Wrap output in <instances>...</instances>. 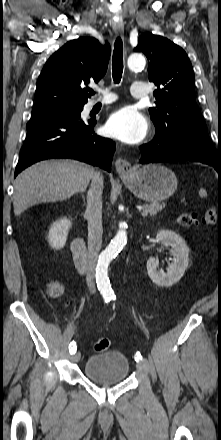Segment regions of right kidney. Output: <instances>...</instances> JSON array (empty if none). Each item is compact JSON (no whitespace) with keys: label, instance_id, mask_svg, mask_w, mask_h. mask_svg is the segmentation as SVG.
I'll return each mask as SVG.
<instances>
[{"label":"right kidney","instance_id":"right-kidney-1","mask_svg":"<svg viewBox=\"0 0 221 440\" xmlns=\"http://www.w3.org/2000/svg\"><path fill=\"white\" fill-rule=\"evenodd\" d=\"M71 225L72 222L66 218L60 219L51 225L48 241L53 249H61L65 246Z\"/></svg>","mask_w":221,"mask_h":440}]
</instances>
